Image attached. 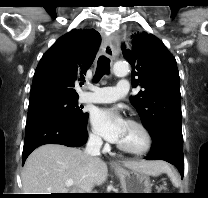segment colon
<instances>
[{
  "label": "colon",
  "mask_w": 208,
  "mask_h": 198,
  "mask_svg": "<svg viewBox=\"0 0 208 198\" xmlns=\"http://www.w3.org/2000/svg\"><path fill=\"white\" fill-rule=\"evenodd\" d=\"M164 189H165L164 187H160V188H159V190H164Z\"/></svg>",
  "instance_id": "1"
}]
</instances>
